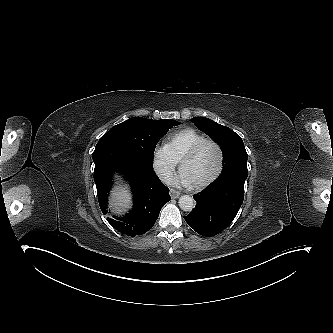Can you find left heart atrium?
<instances>
[{
	"mask_svg": "<svg viewBox=\"0 0 333 333\" xmlns=\"http://www.w3.org/2000/svg\"><path fill=\"white\" fill-rule=\"evenodd\" d=\"M170 183L174 186H191L193 182L184 169L180 173L170 179Z\"/></svg>",
	"mask_w": 333,
	"mask_h": 333,
	"instance_id": "1",
	"label": "left heart atrium"
}]
</instances>
